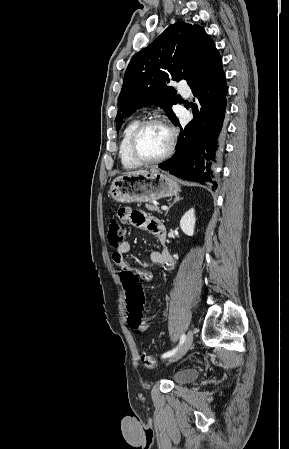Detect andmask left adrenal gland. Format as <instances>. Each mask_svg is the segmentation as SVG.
<instances>
[{
  "label": "left adrenal gland",
  "mask_w": 289,
  "mask_h": 449,
  "mask_svg": "<svg viewBox=\"0 0 289 449\" xmlns=\"http://www.w3.org/2000/svg\"><path fill=\"white\" fill-rule=\"evenodd\" d=\"M183 198H180L179 196H176L173 203L169 206V208L167 209L165 215H167V213L169 212V209L178 201L182 200Z\"/></svg>",
  "instance_id": "obj_1"
}]
</instances>
